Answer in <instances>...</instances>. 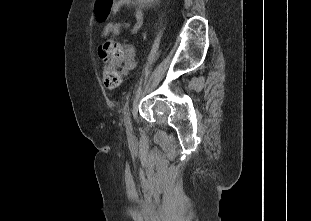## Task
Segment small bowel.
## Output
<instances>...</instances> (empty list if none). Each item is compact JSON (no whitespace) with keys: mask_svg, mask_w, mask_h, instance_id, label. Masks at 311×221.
Segmentation results:
<instances>
[{"mask_svg":"<svg viewBox=\"0 0 311 221\" xmlns=\"http://www.w3.org/2000/svg\"><path fill=\"white\" fill-rule=\"evenodd\" d=\"M140 3L141 0H114L113 13L116 14L122 7L130 8L134 12L136 23L131 26L126 22L112 21L105 31L104 36H108L110 34L120 36L122 30L124 29H129L132 32L139 31L142 27L144 19V13ZM122 54L126 70L133 69L136 66L134 47L130 44L124 45L122 48ZM102 59L106 61V57H102Z\"/></svg>","mask_w":311,"mask_h":221,"instance_id":"1","label":"small bowel"}]
</instances>
